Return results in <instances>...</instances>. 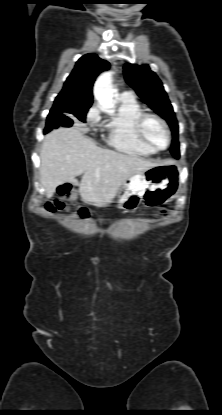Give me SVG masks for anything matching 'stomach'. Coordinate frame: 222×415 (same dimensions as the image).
I'll return each mask as SVG.
<instances>
[{
  "mask_svg": "<svg viewBox=\"0 0 222 415\" xmlns=\"http://www.w3.org/2000/svg\"><path fill=\"white\" fill-rule=\"evenodd\" d=\"M181 168L176 163H166L129 177L117 192L120 209L133 211L145 202L160 206L170 202L180 187Z\"/></svg>",
  "mask_w": 222,
  "mask_h": 415,
  "instance_id": "obj_1",
  "label": "stomach"
}]
</instances>
